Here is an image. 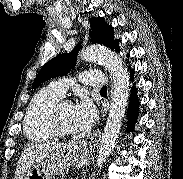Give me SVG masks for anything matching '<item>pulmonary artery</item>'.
Returning <instances> with one entry per match:
<instances>
[{"label": "pulmonary artery", "instance_id": "e3ab8cb5", "mask_svg": "<svg viewBox=\"0 0 183 179\" xmlns=\"http://www.w3.org/2000/svg\"><path fill=\"white\" fill-rule=\"evenodd\" d=\"M80 80L82 83L92 87H103L106 83L104 75L97 70L85 71L81 73ZM71 84L72 80L70 78H61L53 81L49 87L63 97Z\"/></svg>", "mask_w": 183, "mask_h": 179}]
</instances>
